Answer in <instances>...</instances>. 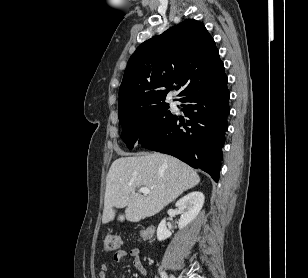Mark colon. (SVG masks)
Listing matches in <instances>:
<instances>
[{"instance_id": "colon-1", "label": "colon", "mask_w": 308, "mask_h": 278, "mask_svg": "<svg viewBox=\"0 0 308 278\" xmlns=\"http://www.w3.org/2000/svg\"><path fill=\"white\" fill-rule=\"evenodd\" d=\"M154 231V226H145L140 235L142 237H153L155 235ZM121 243V238L118 235H108L104 239V249L106 251H114L120 247Z\"/></svg>"}]
</instances>
